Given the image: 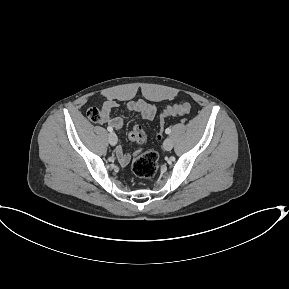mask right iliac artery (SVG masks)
I'll return each mask as SVG.
<instances>
[{
  "label": "right iliac artery",
  "instance_id": "82829eb1",
  "mask_svg": "<svg viewBox=\"0 0 289 289\" xmlns=\"http://www.w3.org/2000/svg\"><path fill=\"white\" fill-rule=\"evenodd\" d=\"M107 130H108L109 132H112V131H113V128L110 127V126H108V127H107Z\"/></svg>",
  "mask_w": 289,
  "mask_h": 289
}]
</instances>
